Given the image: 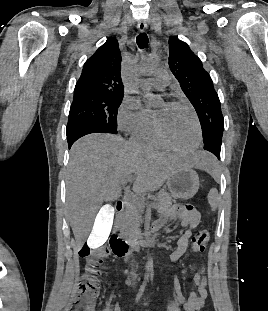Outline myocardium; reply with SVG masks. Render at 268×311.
I'll use <instances>...</instances> for the list:
<instances>
[{
	"label": "myocardium",
	"mask_w": 268,
	"mask_h": 311,
	"mask_svg": "<svg viewBox=\"0 0 268 311\" xmlns=\"http://www.w3.org/2000/svg\"><path fill=\"white\" fill-rule=\"evenodd\" d=\"M170 105L185 109L186 111H188L194 122L196 125V130H197V138L195 143L193 144L192 147L188 148V149H181L179 147L174 146L173 144H171L163 135L158 119L156 118V116H153V124H154V130H155V134L157 136V138L159 139V141L163 144L164 147L171 149L175 152L181 153V154H191L193 152H195L197 150V148L199 147V145L201 144L202 141V128H201V124H200V120L196 114V112L188 105L182 103V102H178V101H173L169 103Z\"/></svg>",
	"instance_id": "obj_1"
}]
</instances>
